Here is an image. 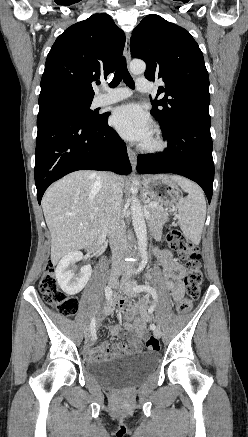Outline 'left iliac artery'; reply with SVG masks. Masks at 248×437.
Listing matches in <instances>:
<instances>
[{
	"mask_svg": "<svg viewBox=\"0 0 248 437\" xmlns=\"http://www.w3.org/2000/svg\"><path fill=\"white\" fill-rule=\"evenodd\" d=\"M143 267H144V263L138 268L136 273L141 272ZM133 290L135 292H142V291L149 292L152 295V298H153L154 302H153L152 306L149 309V312L152 313L154 311L155 307H156V302H157V298H158V294H157L156 290L154 288L150 287V286H147V285H136ZM150 328L152 330H154V329H156V325L155 324H150Z\"/></svg>",
	"mask_w": 248,
	"mask_h": 437,
	"instance_id": "44dca946",
	"label": "left iliac artery"
}]
</instances>
